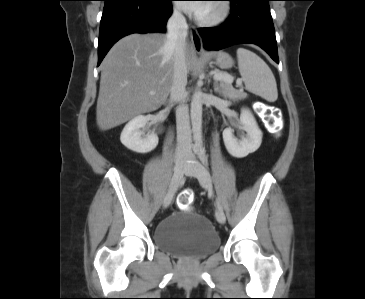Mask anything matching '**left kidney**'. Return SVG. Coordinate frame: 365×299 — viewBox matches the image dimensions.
Masks as SVG:
<instances>
[{
	"label": "left kidney",
	"mask_w": 365,
	"mask_h": 299,
	"mask_svg": "<svg viewBox=\"0 0 365 299\" xmlns=\"http://www.w3.org/2000/svg\"><path fill=\"white\" fill-rule=\"evenodd\" d=\"M240 123L242 125L240 128L247 133L240 140L233 135V129L226 128L223 131V140L227 151L237 158H243L255 152L262 142V132L249 110L242 109Z\"/></svg>",
	"instance_id": "obj_1"
}]
</instances>
